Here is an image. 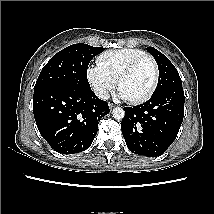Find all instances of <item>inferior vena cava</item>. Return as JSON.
Listing matches in <instances>:
<instances>
[{
	"mask_svg": "<svg viewBox=\"0 0 214 214\" xmlns=\"http://www.w3.org/2000/svg\"><path fill=\"white\" fill-rule=\"evenodd\" d=\"M94 92L95 95L100 99L107 100L109 98V93L102 88H97L94 90Z\"/></svg>",
	"mask_w": 214,
	"mask_h": 214,
	"instance_id": "1",
	"label": "inferior vena cava"
}]
</instances>
